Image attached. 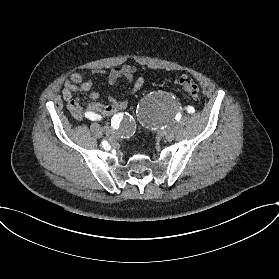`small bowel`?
I'll return each mask as SVG.
<instances>
[{"instance_id":"small-bowel-1","label":"small bowel","mask_w":279,"mask_h":279,"mask_svg":"<svg viewBox=\"0 0 279 279\" xmlns=\"http://www.w3.org/2000/svg\"><path fill=\"white\" fill-rule=\"evenodd\" d=\"M135 73L136 67L130 64L112 68L109 71L94 70L92 75L89 76L73 73L64 83L62 96L68 103V110L76 120L92 119L98 114L111 115L124 110L128 106L129 98L142 87L144 80L143 78L137 79L131 91L121 98L110 97L108 103H100L97 101L99 99V93L92 90L93 75H106L108 84L112 86L121 79L130 84L133 83ZM78 93H89V98L92 101L86 107H83L80 101L75 98V95Z\"/></svg>"}]
</instances>
